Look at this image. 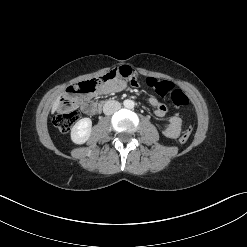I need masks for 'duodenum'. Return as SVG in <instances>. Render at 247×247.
<instances>
[{
	"label": "duodenum",
	"mask_w": 247,
	"mask_h": 247,
	"mask_svg": "<svg viewBox=\"0 0 247 247\" xmlns=\"http://www.w3.org/2000/svg\"><path fill=\"white\" fill-rule=\"evenodd\" d=\"M109 103V101H104L100 104V107L104 106L105 104Z\"/></svg>",
	"instance_id": "1"
}]
</instances>
